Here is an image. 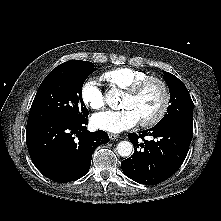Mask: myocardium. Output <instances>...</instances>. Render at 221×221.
Instances as JSON below:
<instances>
[{
    "label": "myocardium",
    "instance_id": "myocardium-1",
    "mask_svg": "<svg viewBox=\"0 0 221 221\" xmlns=\"http://www.w3.org/2000/svg\"><path fill=\"white\" fill-rule=\"evenodd\" d=\"M157 83L163 91V102L158 112L151 118L140 120L143 127H151L159 123L166 115L171 101L170 88L165 80L155 76H149L134 84L126 91V95L130 97H137L149 84Z\"/></svg>",
    "mask_w": 221,
    "mask_h": 221
}]
</instances>
